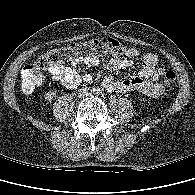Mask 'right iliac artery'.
Masks as SVG:
<instances>
[{
  "label": "right iliac artery",
  "mask_w": 195,
  "mask_h": 195,
  "mask_svg": "<svg viewBox=\"0 0 195 195\" xmlns=\"http://www.w3.org/2000/svg\"><path fill=\"white\" fill-rule=\"evenodd\" d=\"M97 91V89L96 88H92V92L94 93V92H96Z\"/></svg>",
  "instance_id": "right-iliac-artery-1"
}]
</instances>
